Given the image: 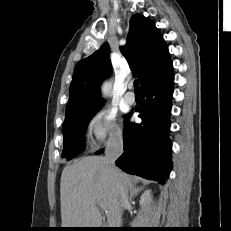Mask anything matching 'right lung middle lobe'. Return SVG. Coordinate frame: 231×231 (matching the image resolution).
I'll return each mask as SVG.
<instances>
[{
    "label": "right lung middle lobe",
    "instance_id": "obj_1",
    "mask_svg": "<svg viewBox=\"0 0 231 231\" xmlns=\"http://www.w3.org/2000/svg\"><path fill=\"white\" fill-rule=\"evenodd\" d=\"M100 107L101 105L65 115L62 127L64 135L62 157L73 158L84 151L87 125Z\"/></svg>",
    "mask_w": 231,
    "mask_h": 231
}]
</instances>
